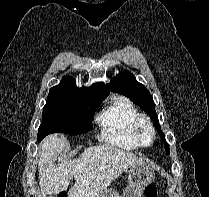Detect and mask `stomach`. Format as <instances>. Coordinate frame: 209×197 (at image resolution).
<instances>
[{"label":"stomach","instance_id":"obj_1","mask_svg":"<svg viewBox=\"0 0 209 197\" xmlns=\"http://www.w3.org/2000/svg\"><path fill=\"white\" fill-rule=\"evenodd\" d=\"M128 185L119 194L115 189H105L97 197H142L145 187L155 179V173L148 163L141 162L128 169Z\"/></svg>","mask_w":209,"mask_h":197}]
</instances>
